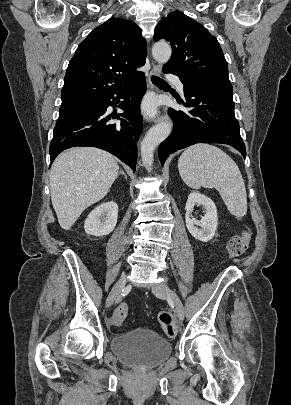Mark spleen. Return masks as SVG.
Segmentation results:
<instances>
[{
    "mask_svg": "<svg viewBox=\"0 0 291 405\" xmlns=\"http://www.w3.org/2000/svg\"><path fill=\"white\" fill-rule=\"evenodd\" d=\"M183 181L191 188H216L228 211L237 218L247 213V194L241 172L224 151L209 144L186 149L178 160Z\"/></svg>",
    "mask_w": 291,
    "mask_h": 405,
    "instance_id": "1",
    "label": "spleen"
}]
</instances>
